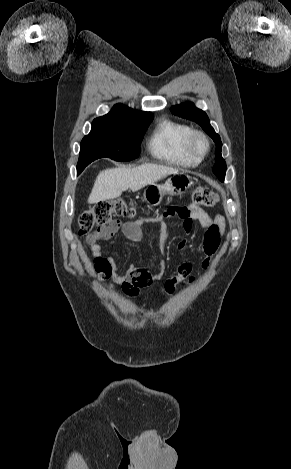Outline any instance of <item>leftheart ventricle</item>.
<instances>
[{
    "label": "left heart ventricle",
    "mask_w": 291,
    "mask_h": 469,
    "mask_svg": "<svg viewBox=\"0 0 291 469\" xmlns=\"http://www.w3.org/2000/svg\"><path fill=\"white\" fill-rule=\"evenodd\" d=\"M204 147H205L204 143L202 141H199L198 144H197L198 150L202 151V150H204Z\"/></svg>",
    "instance_id": "b2bd125f"
}]
</instances>
